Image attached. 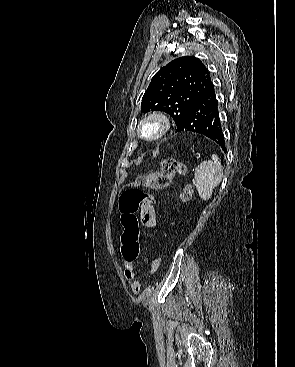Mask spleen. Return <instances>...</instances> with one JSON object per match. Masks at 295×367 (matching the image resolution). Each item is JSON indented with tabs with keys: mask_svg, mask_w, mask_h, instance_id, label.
<instances>
[{
	"mask_svg": "<svg viewBox=\"0 0 295 367\" xmlns=\"http://www.w3.org/2000/svg\"><path fill=\"white\" fill-rule=\"evenodd\" d=\"M223 177V168L217 155L211 160L201 162L195 169V185L202 200H209L213 189L220 184Z\"/></svg>",
	"mask_w": 295,
	"mask_h": 367,
	"instance_id": "spleen-1",
	"label": "spleen"
}]
</instances>
